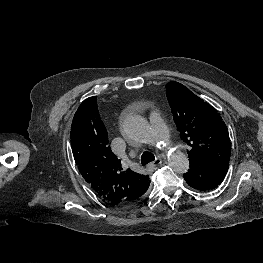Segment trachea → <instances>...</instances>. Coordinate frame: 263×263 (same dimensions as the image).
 Segmentation results:
<instances>
[{"label": "trachea", "mask_w": 263, "mask_h": 263, "mask_svg": "<svg viewBox=\"0 0 263 263\" xmlns=\"http://www.w3.org/2000/svg\"><path fill=\"white\" fill-rule=\"evenodd\" d=\"M155 160V156L150 152H144L141 156V164L144 166L149 162Z\"/></svg>", "instance_id": "trachea-1"}]
</instances>
